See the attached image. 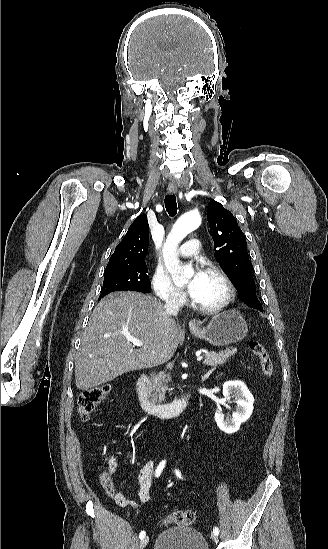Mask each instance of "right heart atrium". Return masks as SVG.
Instances as JSON below:
<instances>
[{"label": "right heart atrium", "instance_id": "1", "mask_svg": "<svg viewBox=\"0 0 328 549\" xmlns=\"http://www.w3.org/2000/svg\"><path fill=\"white\" fill-rule=\"evenodd\" d=\"M150 284L158 301L155 303H184V296L174 285L170 274L158 263L152 266Z\"/></svg>", "mask_w": 328, "mask_h": 549}]
</instances>
